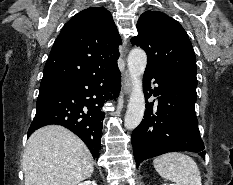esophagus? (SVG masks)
I'll list each match as a JSON object with an SVG mask.
<instances>
[{
  "mask_svg": "<svg viewBox=\"0 0 233 185\" xmlns=\"http://www.w3.org/2000/svg\"><path fill=\"white\" fill-rule=\"evenodd\" d=\"M123 90L126 95H128L131 91V79L127 71L124 73Z\"/></svg>",
  "mask_w": 233,
  "mask_h": 185,
  "instance_id": "1",
  "label": "esophagus"
}]
</instances>
